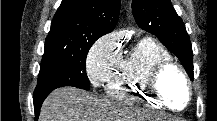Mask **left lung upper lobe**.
<instances>
[{"label":"left lung upper lobe","instance_id":"1","mask_svg":"<svg viewBox=\"0 0 217 121\" xmlns=\"http://www.w3.org/2000/svg\"><path fill=\"white\" fill-rule=\"evenodd\" d=\"M132 11L139 27L157 36L177 56L193 80L192 45L170 0H133Z\"/></svg>","mask_w":217,"mask_h":121}]
</instances>
